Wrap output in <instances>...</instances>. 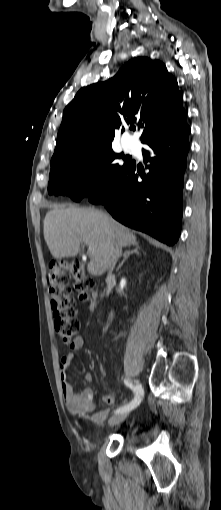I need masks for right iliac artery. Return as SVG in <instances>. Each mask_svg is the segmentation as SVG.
Returning a JSON list of instances; mask_svg holds the SVG:
<instances>
[{
    "instance_id": "right-iliac-artery-1",
    "label": "right iliac artery",
    "mask_w": 221,
    "mask_h": 510,
    "mask_svg": "<svg viewBox=\"0 0 221 510\" xmlns=\"http://www.w3.org/2000/svg\"><path fill=\"white\" fill-rule=\"evenodd\" d=\"M124 383L126 384V386L133 390V392L135 393V397L129 404L117 408L114 411L115 413L127 412L136 408L141 403L144 395L143 388L138 381L129 382L128 380H124Z\"/></svg>"
}]
</instances>
